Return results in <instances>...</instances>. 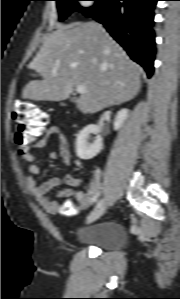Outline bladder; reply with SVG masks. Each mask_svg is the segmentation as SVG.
I'll use <instances>...</instances> for the list:
<instances>
[{"mask_svg":"<svg viewBox=\"0 0 180 299\" xmlns=\"http://www.w3.org/2000/svg\"><path fill=\"white\" fill-rule=\"evenodd\" d=\"M126 239L124 227L114 221H105L81 230L77 240L83 244L101 249L115 250L121 247Z\"/></svg>","mask_w":180,"mask_h":299,"instance_id":"1","label":"bladder"}]
</instances>
